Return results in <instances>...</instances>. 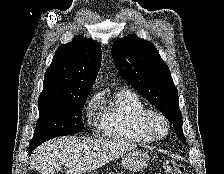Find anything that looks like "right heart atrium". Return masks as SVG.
Here are the masks:
<instances>
[{"mask_svg": "<svg viewBox=\"0 0 224 174\" xmlns=\"http://www.w3.org/2000/svg\"><path fill=\"white\" fill-rule=\"evenodd\" d=\"M99 100V96L98 95H94L93 97H91V99L88 101L87 103V108H86V115L87 118L90 119L92 116L95 115L96 112V105L98 103Z\"/></svg>", "mask_w": 224, "mask_h": 174, "instance_id": "obj_1", "label": "right heart atrium"}]
</instances>
